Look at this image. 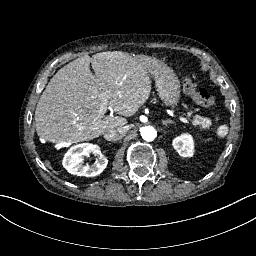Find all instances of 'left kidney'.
Here are the masks:
<instances>
[{
	"instance_id": "obj_1",
	"label": "left kidney",
	"mask_w": 256,
	"mask_h": 256,
	"mask_svg": "<svg viewBox=\"0 0 256 256\" xmlns=\"http://www.w3.org/2000/svg\"><path fill=\"white\" fill-rule=\"evenodd\" d=\"M173 146L180 156L187 157L192 155L193 143L190 135L186 134L175 138L173 141Z\"/></svg>"
}]
</instances>
